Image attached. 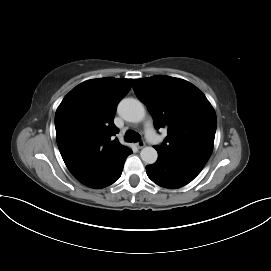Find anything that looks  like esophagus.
Segmentation results:
<instances>
[{
  "instance_id": "34e87169",
  "label": "esophagus",
  "mask_w": 271,
  "mask_h": 271,
  "mask_svg": "<svg viewBox=\"0 0 271 271\" xmlns=\"http://www.w3.org/2000/svg\"><path fill=\"white\" fill-rule=\"evenodd\" d=\"M136 146L141 149L143 147H145V142L143 140H140L136 143Z\"/></svg>"
}]
</instances>
